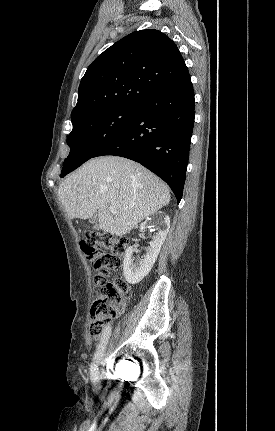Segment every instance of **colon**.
Segmentation results:
<instances>
[{
	"label": "colon",
	"instance_id": "colon-1",
	"mask_svg": "<svg viewBox=\"0 0 275 431\" xmlns=\"http://www.w3.org/2000/svg\"><path fill=\"white\" fill-rule=\"evenodd\" d=\"M127 245L125 239L98 232L89 233L80 242L81 250L93 266L95 283L101 287L91 307L89 331L93 337L100 336L105 325L115 319L123 308L127 283L123 279L107 280L121 266Z\"/></svg>",
	"mask_w": 275,
	"mask_h": 431
}]
</instances>
